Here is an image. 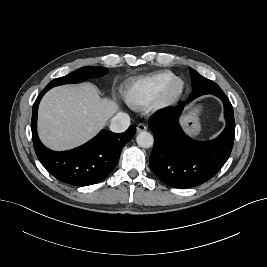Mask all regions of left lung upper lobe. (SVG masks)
Here are the masks:
<instances>
[{"mask_svg":"<svg viewBox=\"0 0 267 267\" xmlns=\"http://www.w3.org/2000/svg\"><path fill=\"white\" fill-rule=\"evenodd\" d=\"M190 75H191V80H192V89H193L192 93L201 91L203 89H208V88H212L214 90H217L218 92H223L215 82L199 75L192 68H190Z\"/></svg>","mask_w":267,"mask_h":267,"instance_id":"1","label":"left lung upper lobe"}]
</instances>
